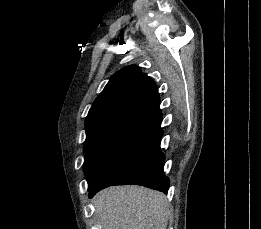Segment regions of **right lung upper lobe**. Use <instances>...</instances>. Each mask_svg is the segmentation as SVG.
<instances>
[{"instance_id": "cb5924a9", "label": "right lung upper lobe", "mask_w": 261, "mask_h": 229, "mask_svg": "<svg viewBox=\"0 0 261 229\" xmlns=\"http://www.w3.org/2000/svg\"><path fill=\"white\" fill-rule=\"evenodd\" d=\"M155 82L135 65L116 72L85 121L84 146L130 148L138 130H158L162 121Z\"/></svg>"}]
</instances>
